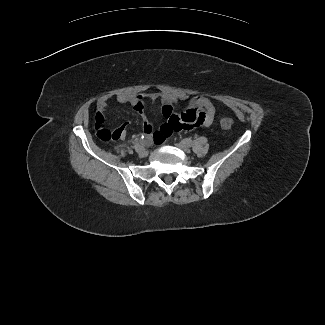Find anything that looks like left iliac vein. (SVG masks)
<instances>
[{"label":"left iliac vein","instance_id":"left-iliac-vein-1","mask_svg":"<svg viewBox=\"0 0 325 325\" xmlns=\"http://www.w3.org/2000/svg\"><path fill=\"white\" fill-rule=\"evenodd\" d=\"M176 146L181 149L182 151L189 153L190 152V148L189 146L183 144V143H177Z\"/></svg>","mask_w":325,"mask_h":325}]
</instances>
